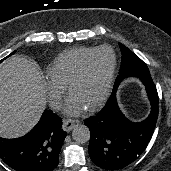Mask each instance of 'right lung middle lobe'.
I'll return each mask as SVG.
<instances>
[{"label": "right lung middle lobe", "instance_id": "1", "mask_svg": "<svg viewBox=\"0 0 171 171\" xmlns=\"http://www.w3.org/2000/svg\"><path fill=\"white\" fill-rule=\"evenodd\" d=\"M14 53H15V51H14L13 53H11L10 55H12V54H14ZM10 55H9V56H10ZM3 60H4V59H3ZM3 60H2V61H3ZM0 62H1V61H0Z\"/></svg>", "mask_w": 171, "mask_h": 171}]
</instances>
